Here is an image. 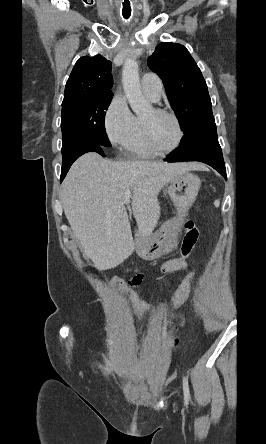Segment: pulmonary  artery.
Returning a JSON list of instances; mask_svg holds the SVG:
<instances>
[{
	"label": "pulmonary artery",
	"mask_w": 266,
	"mask_h": 444,
	"mask_svg": "<svg viewBox=\"0 0 266 444\" xmlns=\"http://www.w3.org/2000/svg\"><path fill=\"white\" fill-rule=\"evenodd\" d=\"M141 87L144 94L153 102L160 99L163 85L161 79L156 74L151 72L144 74L141 80Z\"/></svg>",
	"instance_id": "1"
}]
</instances>
